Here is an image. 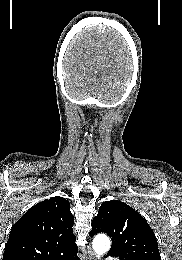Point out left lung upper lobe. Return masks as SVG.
I'll list each match as a JSON object with an SVG mask.
<instances>
[{
	"mask_svg": "<svg viewBox=\"0 0 182 260\" xmlns=\"http://www.w3.org/2000/svg\"><path fill=\"white\" fill-rule=\"evenodd\" d=\"M101 232L112 238L108 255L120 260H161L153 230L144 217L122 201L101 204L89 235Z\"/></svg>",
	"mask_w": 182,
	"mask_h": 260,
	"instance_id": "1",
	"label": "left lung upper lobe"
}]
</instances>
